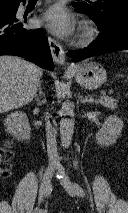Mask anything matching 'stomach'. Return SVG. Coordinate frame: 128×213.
Here are the masks:
<instances>
[{"label":"stomach","mask_w":128,"mask_h":213,"mask_svg":"<svg viewBox=\"0 0 128 213\" xmlns=\"http://www.w3.org/2000/svg\"><path fill=\"white\" fill-rule=\"evenodd\" d=\"M76 81L87 89H97L107 79L105 69L96 62L83 63L77 65L72 70Z\"/></svg>","instance_id":"stomach-1"}]
</instances>
